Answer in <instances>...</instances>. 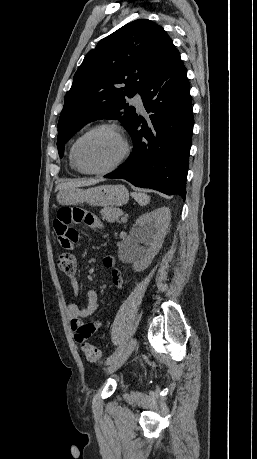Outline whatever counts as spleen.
<instances>
[{
  "label": "spleen",
  "mask_w": 257,
  "mask_h": 459,
  "mask_svg": "<svg viewBox=\"0 0 257 459\" xmlns=\"http://www.w3.org/2000/svg\"><path fill=\"white\" fill-rule=\"evenodd\" d=\"M132 196L141 205H146L150 201V196H148L147 194H144V193L133 192Z\"/></svg>",
  "instance_id": "obj_1"
}]
</instances>
